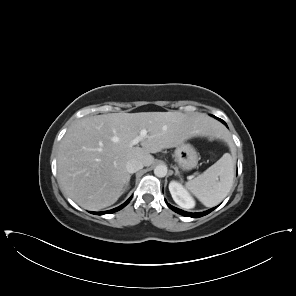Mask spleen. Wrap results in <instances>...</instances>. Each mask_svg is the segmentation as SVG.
I'll return each instance as SVG.
<instances>
[{
  "instance_id": "3e777b00",
  "label": "spleen",
  "mask_w": 296,
  "mask_h": 296,
  "mask_svg": "<svg viewBox=\"0 0 296 296\" xmlns=\"http://www.w3.org/2000/svg\"><path fill=\"white\" fill-rule=\"evenodd\" d=\"M233 178L234 160L225 153L201 175L186 182V188L206 207H213L228 195Z\"/></svg>"
}]
</instances>
